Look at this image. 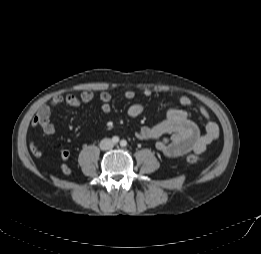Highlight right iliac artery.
<instances>
[{"label": "right iliac artery", "instance_id": "obj_1", "mask_svg": "<svg viewBox=\"0 0 261 254\" xmlns=\"http://www.w3.org/2000/svg\"><path fill=\"white\" fill-rule=\"evenodd\" d=\"M112 142L115 143V144L118 143L119 142V138L117 136H114L112 138Z\"/></svg>", "mask_w": 261, "mask_h": 254}]
</instances>
